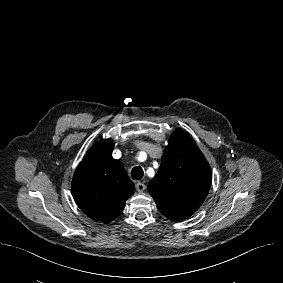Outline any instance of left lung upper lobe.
<instances>
[{
	"instance_id": "obj_1",
	"label": "left lung upper lobe",
	"mask_w": 283,
	"mask_h": 283,
	"mask_svg": "<svg viewBox=\"0 0 283 283\" xmlns=\"http://www.w3.org/2000/svg\"><path fill=\"white\" fill-rule=\"evenodd\" d=\"M212 182L211 168L183 130H175L161 165L148 184L159 211L173 222L185 220L201 206Z\"/></svg>"
}]
</instances>
